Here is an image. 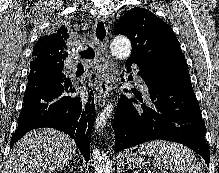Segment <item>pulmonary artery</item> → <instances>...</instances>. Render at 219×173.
Masks as SVG:
<instances>
[{
  "label": "pulmonary artery",
  "instance_id": "e3ab8cb5",
  "mask_svg": "<svg viewBox=\"0 0 219 173\" xmlns=\"http://www.w3.org/2000/svg\"><path fill=\"white\" fill-rule=\"evenodd\" d=\"M136 83L138 84L139 87H141L142 90H146L145 86L143 85L142 79L136 75Z\"/></svg>",
  "mask_w": 219,
  "mask_h": 173
}]
</instances>
